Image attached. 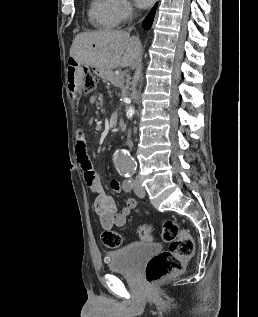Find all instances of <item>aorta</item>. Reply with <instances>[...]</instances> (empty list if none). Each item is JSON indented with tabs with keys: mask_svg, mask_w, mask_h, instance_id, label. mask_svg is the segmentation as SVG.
Wrapping results in <instances>:
<instances>
[{
	"mask_svg": "<svg viewBox=\"0 0 258 317\" xmlns=\"http://www.w3.org/2000/svg\"><path fill=\"white\" fill-rule=\"evenodd\" d=\"M134 113L135 108L133 105L127 107L126 116L128 118H132ZM114 163L118 172L124 176H131L136 170L135 160L130 156L128 152L125 151H119L116 153L114 157Z\"/></svg>",
	"mask_w": 258,
	"mask_h": 317,
	"instance_id": "1",
	"label": "aorta"
}]
</instances>
